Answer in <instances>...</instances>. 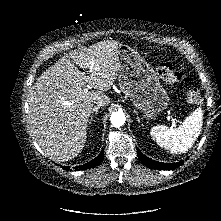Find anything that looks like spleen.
I'll list each match as a JSON object with an SVG mask.
<instances>
[{
    "label": "spleen",
    "instance_id": "spleen-1",
    "mask_svg": "<svg viewBox=\"0 0 221 221\" xmlns=\"http://www.w3.org/2000/svg\"><path fill=\"white\" fill-rule=\"evenodd\" d=\"M201 108H197L178 128L172 129L158 125L151 129L150 134L157 144L172 153L187 152L197 140L203 120Z\"/></svg>",
    "mask_w": 221,
    "mask_h": 221
}]
</instances>
